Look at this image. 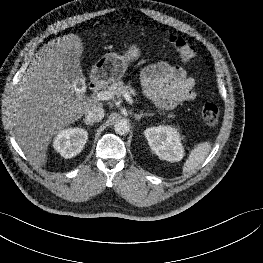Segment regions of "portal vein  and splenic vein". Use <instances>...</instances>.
Listing matches in <instances>:
<instances>
[{"instance_id": "1", "label": "portal vein and splenic vein", "mask_w": 263, "mask_h": 263, "mask_svg": "<svg viewBox=\"0 0 263 263\" xmlns=\"http://www.w3.org/2000/svg\"><path fill=\"white\" fill-rule=\"evenodd\" d=\"M96 96L99 100L107 101V100L112 99L114 97V94L110 91L104 90V91L98 92ZM123 96L127 102H129L130 104H133V99L129 94L125 93Z\"/></svg>"}]
</instances>
